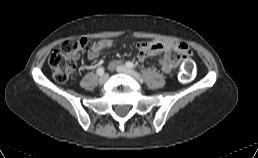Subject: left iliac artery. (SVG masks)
Listing matches in <instances>:
<instances>
[{
  "instance_id": "1",
  "label": "left iliac artery",
  "mask_w": 258,
  "mask_h": 158,
  "mask_svg": "<svg viewBox=\"0 0 258 158\" xmlns=\"http://www.w3.org/2000/svg\"><path fill=\"white\" fill-rule=\"evenodd\" d=\"M125 65H126L128 68H135V65H134L132 62H130V61L126 62Z\"/></svg>"
}]
</instances>
